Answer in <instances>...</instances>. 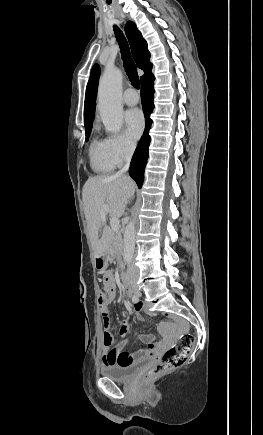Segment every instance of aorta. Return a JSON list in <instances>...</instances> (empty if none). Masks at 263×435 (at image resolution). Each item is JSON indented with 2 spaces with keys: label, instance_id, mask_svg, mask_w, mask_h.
<instances>
[{
  "label": "aorta",
  "instance_id": "762f6f07",
  "mask_svg": "<svg viewBox=\"0 0 263 435\" xmlns=\"http://www.w3.org/2000/svg\"><path fill=\"white\" fill-rule=\"evenodd\" d=\"M122 73L120 70L107 69L98 88V108L106 131L117 133L123 123ZM135 250V222L129 220L123 238V259L130 264Z\"/></svg>",
  "mask_w": 263,
  "mask_h": 435
}]
</instances>
